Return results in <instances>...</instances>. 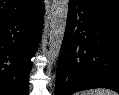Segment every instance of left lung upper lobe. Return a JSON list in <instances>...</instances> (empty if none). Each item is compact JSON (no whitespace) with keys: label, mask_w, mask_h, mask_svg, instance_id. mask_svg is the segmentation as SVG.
<instances>
[{"label":"left lung upper lobe","mask_w":119,"mask_h":95,"mask_svg":"<svg viewBox=\"0 0 119 95\" xmlns=\"http://www.w3.org/2000/svg\"><path fill=\"white\" fill-rule=\"evenodd\" d=\"M98 7L119 12V0H86Z\"/></svg>","instance_id":"1"}]
</instances>
